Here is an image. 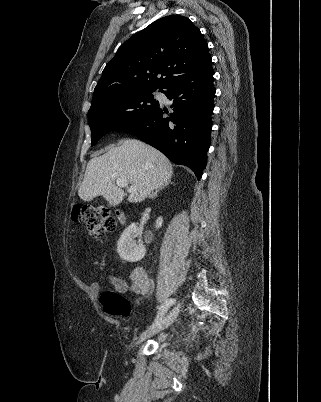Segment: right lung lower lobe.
<instances>
[{"instance_id":"1","label":"right lung lower lobe","mask_w":321,"mask_h":402,"mask_svg":"<svg viewBox=\"0 0 321 402\" xmlns=\"http://www.w3.org/2000/svg\"><path fill=\"white\" fill-rule=\"evenodd\" d=\"M213 75L211 63L174 80L162 91L173 99V113L165 118L166 111L159 106L146 117L118 130L137 136L174 163L188 166L200 180L211 141Z\"/></svg>"}]
</instances>
